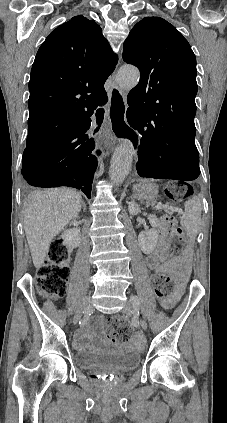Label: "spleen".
<instances>
[{
	"label": "spleen",
	"mask_w": 227,
	"mask_h": 423,
	"mask_svg": "<svg viewBox=\"0 0 227 423\" xmlns=\"http://www.w3.org/2000/svg\"><path fill=\"white\" fill-rule=\"evenodd\" d=\"M185 211L180 219V223L187 233L195 235L201 219V204L197 196H193L191 200H187L184 204Z\"/></svg>",
	"instance_id": "spleen-1"
}]
</instances>
